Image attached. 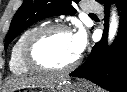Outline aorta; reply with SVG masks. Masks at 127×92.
I'll list each match as a JSON object with an SVG mask.
<instances>
[{
    "instance_id": "762f6f07",
    "label": "aorta",
    "mask_w": 127,
    "mask_h": 92,
    "mask_svg": "<svg viewBox=\"0 0 127 92\" xmlns=\"http://www.w3.org/2000/svg\"><path fill=\"white\" fill-rule=\"evenodd\" d=\"M118 29V18L117 13L115 10H112L111 19H110V26H109V33H108V40L112 42L114 39Z\"/></svg>"
}]
</instances>
